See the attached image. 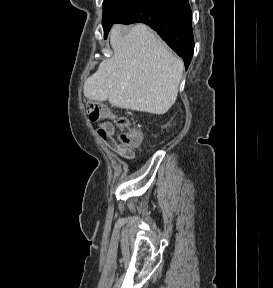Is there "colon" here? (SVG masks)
<instances>
[{
  "label": "colon",
  "instance_id": "1",
  "mask_svg": "<svg viewBox=\"0 0 273 288\" xmlns=\"http://www.w3.org/2000/svg\"><path fill=\"white\" fill-rule=\"evenodd\" d=\"M87 112L92 122H101L104 120H113L119 128V141L126 147H139L142 143L141 133L130 127L127 119L115 116L104 104L99 102H89ZM103 134V130H99Z\"/></svg>",
  "mask_w": 273,
  "mask_h": 288
}]
</instances>
